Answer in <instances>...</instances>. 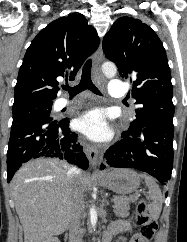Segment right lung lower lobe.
I'll list each match as a JSON object with an SVG mask.
<instances>
[{
  "label": "right lung lower lobe",
  "instance_id": "1",
  "mask_svg": "<svg viewBox=\"0 0 187 242\" xmlns=\"http://www.w3.org/2000/svg\"><path fill=\"white\" fill-rule=\"evenodd\" d=\"M68 126V118L53 120L51 117L12 124L7 151V181L10 182L23 163L39 157L64 159L86 170L89 162L77 134Z\"/></svg>",
  "mask_w": 187,
  "mask_h": 242
}]
</instances>
